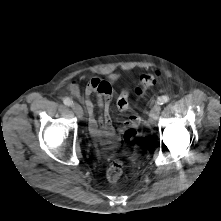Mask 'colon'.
<instances>
[{
  "label": "colon",
  "instance_id": "1",
  "mask_svg": "<svg viewBox=\"0 0 221 221\" xmlns=\"http://www.w3.org/2000/svg\"><path fill=\"white\" fill-rule=\"evenodd\" d=\"M160 73H146L140 76L139 85L136 87L135 92L137 95H142L144 92L156 85L159 82ZM118 102L123 105H128V92L123 91L118 98ZM136 136V129L129 128L125 131L124 140L129 142ZM124 170L123 162L120 160L111 161L106 166V178L110 183H116L122 176Z\"/></svg>",
  "mask_w": 221,
  "mask_h": 221
}]
</instances>
